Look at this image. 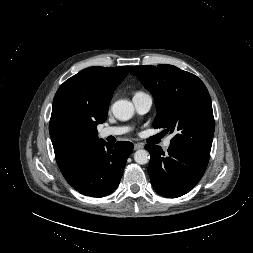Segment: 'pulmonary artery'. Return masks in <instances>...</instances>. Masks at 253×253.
I'll return each mask as SVG.
<instances>
[{
  "mask_svg": "<svg viewBox=\"0 0 253 253\" xmlns=\"http://www.w3.org/2000/svg\"><path fill=\"white\" fill-rule=\"evenodd\" d=\"M133 104L135 106V109L137 113L143 115L146 114L153 103V99L150 94L144 93V92H137L133 96ZM130 130L129 127L127 126H110V127H105L99 131V136L101 138H106L108 136H118L125 134ZM171 144V138L168 137L165 139L163 146L165 149H168Z\"/></svg>",
  "mask_w": 253,
  "mask_h": 253,
  "instance_id": "pulmonary-artery-1",
  "label": "pulmonary artery"
}]
</instances>
